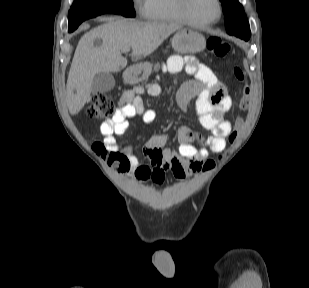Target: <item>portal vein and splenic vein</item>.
<instances>
[{
  "label": "portal vein and splenic vein",
  "mask_w": 309,
  "mask_h": 288,
  "mask_svg": "<svg viewBox=\"0 0 309 288\" xmlns=\"http://www.w3.org/2000/svg\"><path fill=\"white\" fill-rule=\"evenodd\" d=\"M130 51V47H124L122 48V52L126 53Z\"/></svg>",
  "instance_id": "1"
}]
</instances>
